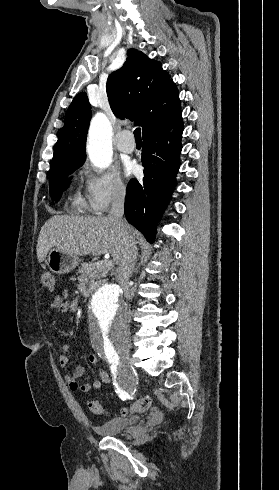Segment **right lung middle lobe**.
I'll return each instance as SVG.
<instances>
[{
	"mask_svg": "<svg viewBox=\"0 0 279 490\" xmlns=\"http://www.w3.org/2000/svg\"><path fill=\"white\" fill-rule=\"evenodd\" d=\"M83 163L60 168L49 176V188L50 196L53 200L58 201L62 195V192L66 190L70 184V179L67 178L72 172L78 169Z\"/></svg>",
	"mask_w": 279,
	"mask_h": 490,
	"instance_id": "dd1d6c3e",
	"label": "right lung middle lobe"
}]
</instances>
